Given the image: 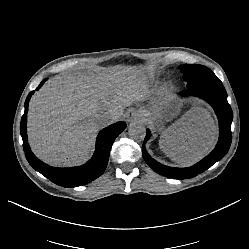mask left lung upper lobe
<instances>
[{
  "label": "left lung upper lobe",
  "mask_w": 249,
  "mask_h": 249,
  "mask_svg": "<svg viewBox=\"0 0 249 249\" xmlns=\"http://www.w3.org/2000/svg\"><path fill=\"white\" fill-rule=\"evenodd\" d=\"M179 68L183 73L184 80L187 82V89L204 83L221 82L216 75L205 66L183 64Z\"/></svg>",
  "instance_id": "1"
}]
</instances>
